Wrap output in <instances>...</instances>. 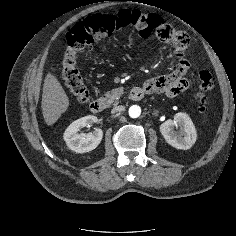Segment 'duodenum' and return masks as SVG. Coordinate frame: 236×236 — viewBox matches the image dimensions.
<instances>
[{"label":"duodenum","mask_w":236,"mask_h":236,"mask_svg":"<svg viewBox=\"0 0 236 236\" xmlns=\"http://www.w3.org/2000/svg\"><path fill=\"white\" fill-rule=\"evenodd\" d=\"M129 95L131 100L139 101L144 97L145 90L143 87L135 86L130 89ZM89 108L93 113H101L106 110L107 103L105 101L95 99L90 102Z\"/></svg>","instance_id":"obj_1"}]
</instances>
